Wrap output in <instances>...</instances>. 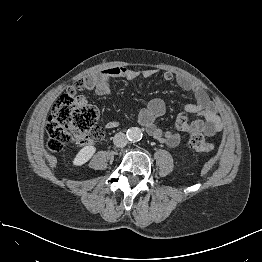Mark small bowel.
<instances>
[{"label": "small bowel", "mask_w": 262, "mask_h": 262, "mask_svg": "<svg viewBox=\"0 0 262 262\" xmlns=\"http://www.w3.org/2000/svg\"><path fill=\"white\" fill-rule=\"evenodd\" d=\"M154 74L153 70H129L123 66H113L104 69L98 74H92L83 80L81 89L94 90L101 96L110 92V83L114 79L123 78L128 81L136 78H149ZM166 81H173L175 75L172 72L164 74ZM179 87L192 95L195 102L188 104L184 112L175 120V130L163 131L156 126L155 121L165 112V104L161 99L151 100L138 115V122L146 128L147 133L157 141L170 147L177 146L181 141L182 132L199 131L207 136L214 135L223 129V121L217 113L215 105L210 101L207 93L196 82L186 76L177 78ZM79 89V88H78ZM77 90V87H74ZM192 115L198 119L190 120ZM119 126L118 119H112L106 123V128L113 129Z\"/></svg>", "instance_id": "1"}]
</instances>
